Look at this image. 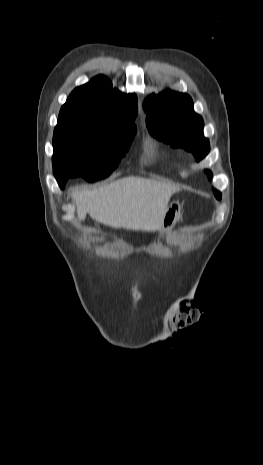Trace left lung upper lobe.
<instances>
[{
	"label": "left lung upper lobe",
	"mask_w": 263,
	"mask_h": 465,
	"mask_svg": "<svg viewBox=\"0 0 263 465\" xmlns=\"http://www.w3.org/2000/svg\"><path fill=\"white\" fill-rule=\"evenodd\" d=\"M149 132L156 138L191 151L197 161L210 151L209 140L203 136V119L193 109L189 95L164 91L150 95L144 102ZM211 179L212 174H208ZM217 199L221 193L214 190Z\"/></svg>",
	"instance_id": "obj_1"
}]
</instances>
